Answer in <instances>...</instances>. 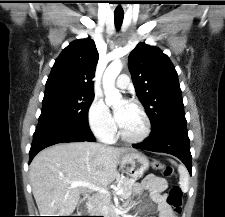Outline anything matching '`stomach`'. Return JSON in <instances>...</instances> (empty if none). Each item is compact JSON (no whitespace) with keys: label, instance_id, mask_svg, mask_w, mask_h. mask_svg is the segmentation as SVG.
I'll list each match as a JSON object with an SVG mask.
<instances>
[{"label":"stomach","instance_id":"stomach-1","mask_svg":"<svg viewBox=\"0 0 225 217\" xmlns=\"http://www.w3.org/2000/svg\"><path fill=\"white\" fill-rule=\"evenodd\" d=\"M120 167L125 174L137 179L148 169L149 160L140 152H129L121 156Z\"/></svg>","mask_w":225,"mask_h":217}]
</instances>
